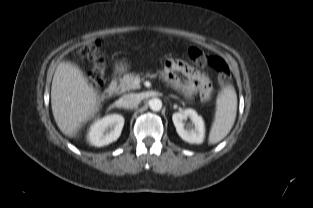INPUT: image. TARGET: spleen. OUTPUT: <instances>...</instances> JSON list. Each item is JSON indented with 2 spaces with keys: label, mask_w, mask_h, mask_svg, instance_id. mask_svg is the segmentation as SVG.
Listing matches in <instances>:
<instances>
[{
  "label": "spleen",
  "mask_w": 313,
  "mask_h": 208,
  "mask_svg": "<svg viewBox=\"0 0 313 208\" xmlns=\"http://www.w3.org/2000/svg\"><path fill=\"white\" fill-rule=\"evenodd\" d=\"M237 113V95L234 87H226L216 101L215 120L209 134V143L221 141L233 127Z\"/></svg>",
  "instance_id": "obj_1"
}]
</instances>
